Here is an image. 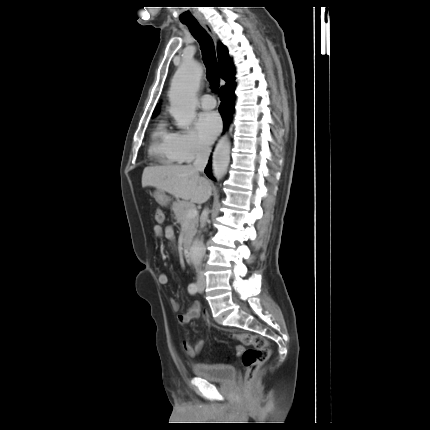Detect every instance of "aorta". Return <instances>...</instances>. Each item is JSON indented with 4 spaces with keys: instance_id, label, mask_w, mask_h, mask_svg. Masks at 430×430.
<instances>
[{
    "instance_id": "762f6f07",
    "label": "aorta",
    "mask_w": 430,
    "mask_h": 430,
    "mask_svg": "<svg viewBox=\"0 0 430 430\" xmlns=\"http://www.w3.org/2000/svg\"><path fill=\"white\" fill-rule=\"evenodd\" d=\"M202 76V68L198 62L188 61L181 65L175 73L170 91V114L180 128L188 127L196 117V95ZM230 162V141L226 136L221 137L212 157L213 175L221 178L225 175ZM205 246L195 240L190 248V260L193 265H199L205 255Z\"/></svg>"
}]
</instances>
